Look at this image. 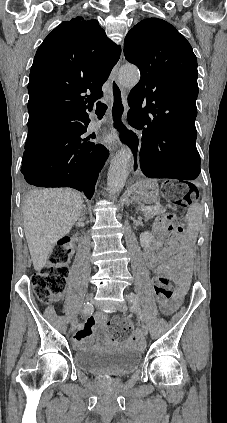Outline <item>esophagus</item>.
Wrapping results in <instances>:
<instances>
[{"mask_svg": "<svg viewBox=\"0 0 227 423\" xmlns=\"http://www.w3.org/2000/svg\"><path fill=\"white\" fill-rule=\"evenodd\" d=\"M123 57V45H122V53L121 57L118 61V63L113 68L110 80H111V88H110V95H111V106H110V116L113 120V125L116 129H118V126H121L120 128H126L123 125V116L126 112V102H125V96H124V90L120 86L117 75L119 71V67L122 61ZM130 128L129 126L127 127ZM117 140L120 144L123 145L124 148H127L129 155H130V161H131V171L132 174L138 175L140 173V163H139V153H140V147H141V137L139 134H134V130H128L125 131H118L117 132ZM121 133V134H120ZM125 133V134H124ZM127 133V134H126Z\"/></svg>", "mask_w": 227, "mask_h": 423, "instance_id": "1", "label": "esophagus"}]
</instances>
